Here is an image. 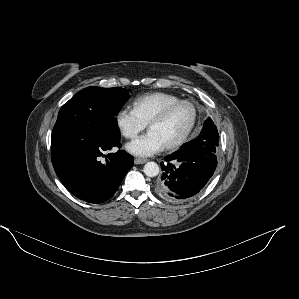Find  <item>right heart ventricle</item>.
<instances>
[{"mask_svg": "<svg viewBox=\"0 0 299 299\" xmlns=\"http://www.w3.org/2000/svg\"><path fill=\"white\" fill-rule=\"evenodd\" d=\"M176 95L165 92L146 93L136 97L132 102V109L140 119L148 124L165 106L179 101Z\"/></svg>", "mask_w": 299, "mask_h": 299, "instance_id": "e07e8e85", "label": "right heart ventricle"}]
</instances>
